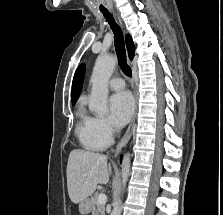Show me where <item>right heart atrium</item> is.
<instances>
[{
	"instance_id": "obj_1",
	"label": "right heart atrium",
	"mask_w": 223,
	"mask_h": 215,
	"mask_svg": "<svg viewBox=\"0 0 223 215\" xmlns=\"http://www.w3.org/2000/svg\"><path fill=\"white\" fill-rule=\"evenodd\" d=\"M94 128L98 135L105 141H110L116 131L112 122L106 117H94Z\"/></svg>"
}]
</instances>
